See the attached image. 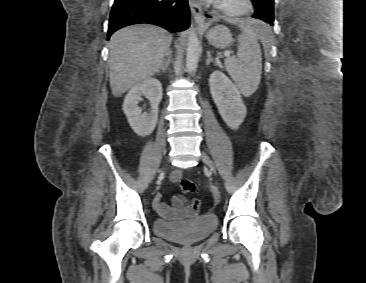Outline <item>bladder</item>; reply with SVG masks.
Wrapping results in <instances>:
<instances>
[{
  "mask_svg": "<svg viewBox=\"0 0 366 283\" xmlns=\"http://www.w3.org/2000/svg\"><path fill=\"white\" fill-rule=\"evenodd\" d=\"M218 222L214 216H203L184 221H168L157 218L152 223L154 234L164 239L180 244L199 242L217 228Z\"/></svg>",
  "mask_w": 366,
  "mask_h": 283,
  "instance_id": "31cf9c89",
  "label": "bladder"
}]
</instances>
